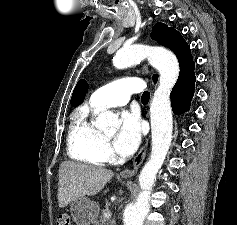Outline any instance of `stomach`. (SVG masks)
I'll list each match as a JSON object with an SVG mask.
<instances>
[{
	"label": "stomach",
	"mask_w": 237,
	"mask_h": 225,
	"mask_svg": "<svg viewBox=\"0 0 237 225\" xmlns=\"http://www.w3.org/2000/svg\"><path fill=\"white\" fill-rule=\"evenodd\" d=\"M70 212L77 225H90L99 212L98 204L88 197H79L70 203Z\"/></svg>",
	"instance_id": "stomach-1"
}]
</instances>
